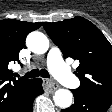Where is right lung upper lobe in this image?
Masks as SVG:
<instances>
[{
  "label": "right lung upper lobe",
  "mask_w": 112,
  "mask_h": 112,
  "mask_svg": "<svg viewBox=\"0 0 112 112\" xmlns=\"http://www.w3.org/2000/svg\"><path fill=\"white\" fill-rule=\"evenodd\" d=\"M42 23L22 22L13 19L0 21V112H11L33 79H15L8 68L11 61H18L26 36Z\"/></svg>",
  "instance_id": "obj_1"
}]
</instances>
